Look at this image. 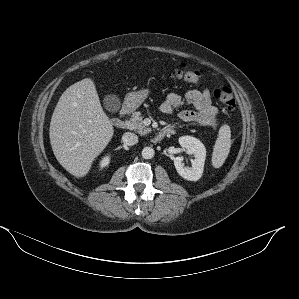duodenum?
Segmentation results:
<instances>
[{"label":"duodenum","instance_id":"410a0bca","mask_svg":"<svg viewBox=\"0 0 299 299\" xmlns=\"http://www.w3.org/2000/svg\"><path fill=\"white\" fill-rule=\"evenodd\" d=\"M130 109L128 107L124 108L122 111V116L120 118L113 119V125L116 128L122 129L125 127V120L124 118L129 114ZM175 133V130L171 127L164 128L160 130L155 136L154 141L158 142L164 139L165 137H169Z\"/></svg>","mask_w":299,"mask_h":299}]
</instances>
